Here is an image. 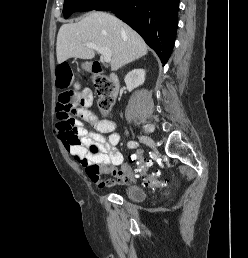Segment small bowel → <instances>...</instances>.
Listing matches in <instances>:
<instances>
[{"mask_svg": "<svg viewBox=\"0 0 248 258\" xmlns=\"http://www.w3.org/2000/svg\"><path fill=\"white\" fill-rule=\"evenodd\" d=\"M76 99L77 103L74 106L75 114L85 120L95 132L87 130L82 122L78 120L74 121L73 124L78 136V142L73 143L69 141L66 133H64L57 124L56 130L62 139L65 149L85 167L92 164H98L102 169H108L111 166H121L120 169L113 171L116 180H95L99 188L128 185L134 182L137 175L130 173L131 167L123 163V155L117 148L120 135L115 131V123L112 120L100 119L91 111L93 93L89 88H83L77 92ZM104 134H106V137L103 136ZM91 144H96L99 149V153L95 156H91L87 153L86 147Z\"/></svg>", "mask_w": 248, "mask_h": 258, "instance_id": "c3829d8e", "label": "small bowel"}]
</instances>
